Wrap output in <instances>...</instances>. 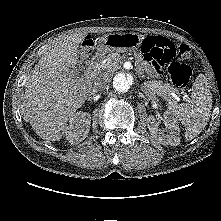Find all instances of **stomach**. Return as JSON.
I'll return each instance as SVG.
<instances>
[{
	"label": "stomach",
	"mask_w": 221,
	"mask_h": 221,
	"mask_svg": "<svg viewBox=\"0 0 221 221\" xmlns=\"http://www.w3.org/2000/svg\"><path fill=\"white\" fill-rule=\"evenodd\" d=\"M146 37L138 33H110L99 39V50L107 52H133L140 50Z\"/></svg>",
	"instance_id": "obj_1"
}]
</instances>
